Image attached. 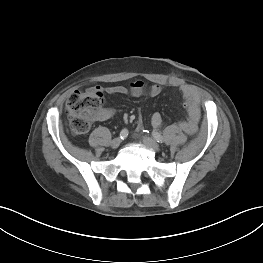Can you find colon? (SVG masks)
I'll use <instances>...</instances> for the list:
<instances>
[{"label":"colon","instance_id":"1","mask_svg":"<svg viewBox=\"0 0 263 263\" xmlns=\"http://www.w3.org/2000/svg\"><path fill=\"white\" fill-rule=\"evenodd\" d=\"M102 106L103 95L100 91L88 89L71 94L66 103L71 133L75 136L87 133L92 121L102 113ZM184 106L188 108L186 101Z\"/></svg>","mask_w":263,"mask_h":263}]
</instances>
